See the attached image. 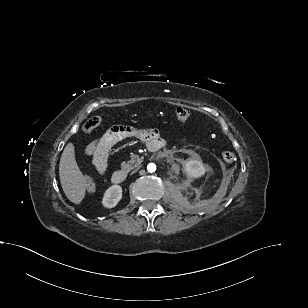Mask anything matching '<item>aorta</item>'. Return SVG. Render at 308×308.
I'll list each match as a JSON object with an SVG mask.
<instances>
[{
  "instance_id": "aorta-1",
  "label": "aorta",
  "mask_w": 308,
  "mask_h": 308,
  "mask_svg": "<svg viewBox=\"0 0 308 308\" xmlns=\"http://www.w3.org/2000/svg\"><path fill=\"white\" fill-rule=\"evenodd\" d=\"M147 170H148L149 172H155V171H156V165H155L154 163L148 164Z\"/></svg>"
}]
</instances>
